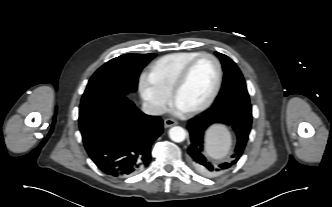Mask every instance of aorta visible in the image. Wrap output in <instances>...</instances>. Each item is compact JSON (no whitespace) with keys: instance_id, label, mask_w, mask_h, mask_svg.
I'll use <instances>...</instances> for the list:
<instances>
[{"instance_id":"762f6f07","label":"aorta","mask_w":332,"mask_h":207,"mask_svg":"<svg viewBox=\"0 0 332 207\" xmlns=\"http://www.w3.org/2000/svg\"><path fill=\"white\" fill-rule=\"evenodd\" d=\"M169 137L174 142H183L186 138V131L180 126L172 127L169 130Z\"/></svg>"}]
</instances>
